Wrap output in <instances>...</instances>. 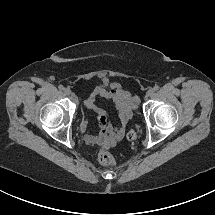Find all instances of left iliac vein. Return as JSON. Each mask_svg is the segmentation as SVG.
Returning a JSON list of instances; mask_svg holds the SVG:
<instances>
[{"label": "left iliac vein", "mask_w": 215, "mask_h": 215, "mask_svg": "<svg viewBox=\"0 0 215 215\" xmlns=\"http://www.w3.org/2000/svg\"><path fill=\"white\" fill-rule=\"evenodd\" d=\"M154 94V90L153 89H149L148 91H147V93H146V96L147 97H150V96H152Z\"/></svg>", "instance_id": "4c4485c4"}]
</instances>
